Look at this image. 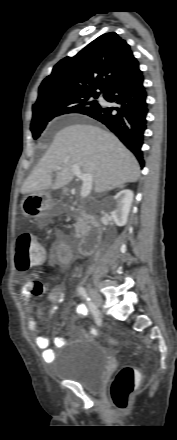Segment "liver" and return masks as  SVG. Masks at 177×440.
<instances>
[{
  "label": "liver",
  "instance_id": "liver-1",
  "mask_svg": "<svg viewBox=\"0 0 177 440\" xmlns=\"http://www.w3.org/2000/svg\"><path fill=\"white\" fill-rule=\"evenodd\" d=\"M74 164L84 174L92 175L96 193L136 182L140 175L135 156L115 135L97 126L75 124L56 133L53 143L24 181L21 193L56 190L67 185L73 180Z\"/></svg>",
  "mask_w": 177,
  "mask_h": 440
}]
</instances>
